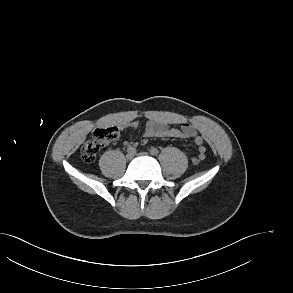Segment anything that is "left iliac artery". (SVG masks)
Masks as SVG:
<instances>
[{
  "label": "left iliac artery",
  "instance_id": "obj_1",
  "mask_svg": "<svg viewBox=\"0 0 293 293\" xmlns=\"http://www.w3.org/2000/svg\"><path fill=\"white\" fill-rule=\"evenodd\" d=\"M158 153H159V150L157 148H152L150 150V154L153 155V156H156Z\"/></svg>",
  "mask_w": 293,
  "mask_h": 293
}]
</instances>
